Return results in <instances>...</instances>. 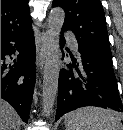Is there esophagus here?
<instances>
[{
	"mask_svg": "<svg viewBox=\"0 0 123 130\" xmlns=\"http://www.w3.org/2000/svg\"><path fill=\"white\" fill-rule=\"evenodd\" d=\"M49 38H50L49 33L47 31L42 33V40H41L39 56H38V60H37V64L39 65L40 69H42V67L45 63Z\"/></svg>",
	"mask_w": 123,
	"mask_h": 130,
	"instance_id": "34e87169",
	"label": "esophagus"
}]
</instances>
